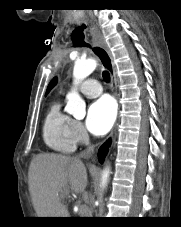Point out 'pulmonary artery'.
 <instances>
[{
  "instance_id": "obj_1",
  "label": "pulmonary artery",
  "mask_w": 181,
  "mask_h": 227,
  "mask_svg": "<svg viewBox=\"0 0 181 227\" xmlns=\"http://www.w3.org/2000/svg\"><path fill=\"white\" fill-rule=\"evenodd\" d=\"M78 89L81 91L82 94L89 98L97 97L102 93L101 84L94 79H88L82 82L78 86Z\"/></svg>"
}]
</instances>
